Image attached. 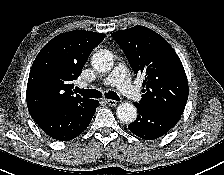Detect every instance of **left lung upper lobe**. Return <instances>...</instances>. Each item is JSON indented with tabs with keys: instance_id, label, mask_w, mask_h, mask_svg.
Returning a JSON list of instances; mask_svg holds the SVG:
<instances>
[{
	"instance_id": "1",
	"label": "left lung upper lobe",
	"mask_w": 224,
	"mask_h": 175,
	"mask_svg": "<svg viewBox=\"0 0 224 175\" xmlns=\"http://www.w3.org/2000/svg\"><path fill=\"white\" fill-rule=\"evenodd\" d=\"M124 51L135 74L144 76L140 105L183 114L188 81L183 65L170 44L143 26L111 34Z\"/></svg>"
}]
</instances>
